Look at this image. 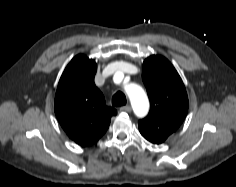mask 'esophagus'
<instances>
[{"label": "esophagus", "mask_w": 236, "mask_h": 187, "mask_svg": "<svg viewBox=\"0 0 236 187\" xmlns=\"http://www.w3.org/2000/svg\"><path fill=\"white\" fill-rule=\"evenodd\" d=\"M131 107L129 106V105H126V106H122L121 108H120V111L121 112H131Z\"/></svg>", "instance_id": "1"}]
</instances>
